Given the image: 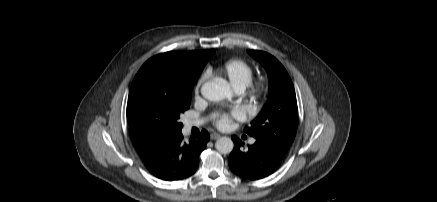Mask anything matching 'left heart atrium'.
Returning <instances> with one entry per match:
<instances>
[{
  "label": "left heart atrium",
  "mask_w": 437,
  "mask_h": 202,
  "mask_svg": "<svg viewBox=\"0 0 437 202\" xmlns=\"http://www.w3.org/2000/svg\"><path fill=\"white\" fill-rule=\"evenodd\" d=\"M244 113L240 109H234L228 113H223L215 121L220 129H228L234 119H243Z\"/></svg>",
  "instance_id": "left-heart-atrium-1"
}]
</instances>
